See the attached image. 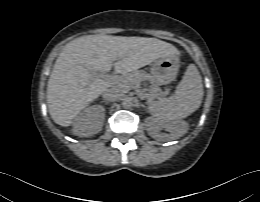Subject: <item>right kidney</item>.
Listing matches in <instances>:
<instances>
[{"mask_svg": "<svg viewBox=\"0 0 260 202\" xmlns=\"http://www.w3.org/2000/svg\"><path fill=\"white\" fill-rule=\"evenodd\" d=\"M105 108L93 105L84 109L73 122V133L79 137H89L98 133L103 126Z\"/></svg>", "mask_w": 260, "mask_h": 202, "instance_id": "obj_1", "label": "right kidney"}]
</instances>
